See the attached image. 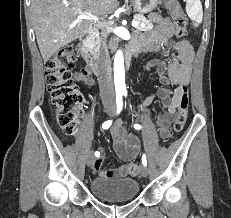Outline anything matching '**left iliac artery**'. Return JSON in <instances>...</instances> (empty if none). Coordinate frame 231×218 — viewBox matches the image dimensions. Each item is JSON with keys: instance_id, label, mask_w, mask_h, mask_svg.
Here are the masks:
<instances>
[{"instance_id": "obj_1", "label": "left iliac artery", "mask_w": 231, "mask_h": 218, "mask_svg": "<svg viewBox=\"0 0 231 218\" xmlns=\"http://www.w3.org/2000/svg\"><path fill=\"white\" fill-rule=\"evenodd\" d=\"M123 94H124L125 96H127V92H126V91H124ZM134 128H135V129H141L142 126L139 125V124H135V125H134ZM142 163H143L145 166L147 165V161H146V156H145V155L142 156Z\"/></svg>"}]
</instances>
